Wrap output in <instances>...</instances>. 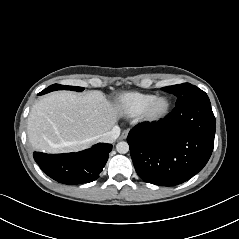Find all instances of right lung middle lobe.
Here are the masks:
<instances>
[{
    "mask_svg": "<svg viewBox=\"0 0 239 239\" xmlns=\"http://www.w3.org/2000/svg\"><path fill=\"white\" fill-rule=\"evenodd\" d=\"M55 90L83 91L84 88L77 87V86H66V85H60V84H53V85L49 86L48 88H46L45 90H43L42 92H40V94H45V93L55 91Z\"/></svg>",
    "mask_w": 239,
    "mask_h": 239,
    "instance_id": "obj_1",
    "label": "right lung middle lobe"
}]
</instances>
